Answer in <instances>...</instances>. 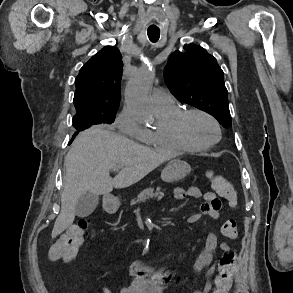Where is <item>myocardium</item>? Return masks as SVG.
I'll return each instance as SVG.
<instances>
[{
    "label": "myocardium",
    "mask_w": 293,
    "mask_h": 293,
    "mask_svg": "<svg viewBox=\"0 0 293 293\" xmlns=\"http://www.w3.org/2000/svg\"><path fill=\"white\" fill-rule=\"evenodd\" d=\"M198 114L207 118L216 129V138L209 143L203 145H196L191 143L185 136L184 133V122L189 115ZM170 130L173 135L184 145L190 148L193 151H204L207 150L214 145H216L222 139V128L218 120L211 115L210 113L199 109V108H189L180 110L176 116L172 119L170 123Z\"/></svg>",
    "instance_id": "f54148a6"
}]
</instances>
